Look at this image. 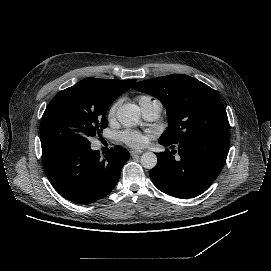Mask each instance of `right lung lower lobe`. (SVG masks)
Segmentation results:
<instances>
[{
	"label": "right lung lower lobe",
	"instance_id": "right-lung-lower-lobe-1",
	"mask_svg": "<svg viewBox=\"0 0 271 271\" xmlns=\"http://www.w3.org/2000/svg\"><path fill=\"white\" fill-rule=\"evenodd\" d=\"M45 173L64 198L83 204L99 200L116 186L129 152L115 146L104 158L90 145L54 143L42 147Z\"/></svg>",
	"mask_w": 271,
	"mask_h": 271
}]
</instances>
